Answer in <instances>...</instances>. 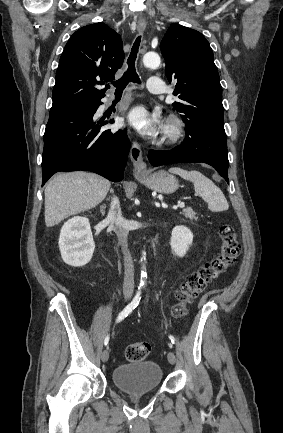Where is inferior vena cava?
<instances>
[{
    "instance_id": "obj_1",
    "label": "inferior vena cava",
    "mask_w": 283,
    "mask_h": 433,
    "mask_svg": "<svg viewBox=\"0 0 283 433\" xmlns=\"http://www.w3.org/2000/svg\"><path fill=\"white\" fill-rule=\"evenodd\" d=\"M108 221L111 225H114L115 233L121 245L122 253L124 255V283H123V293L124 295H132L134 291V265L130 251L128 249V229L123 227V217L120 208V202L117 196H114L111 202V208L108 212Z\"/></svg>"
}]
</instances>
